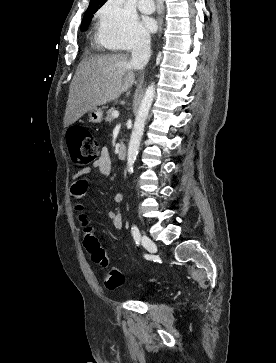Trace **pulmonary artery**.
Returning <instances> with one entry per match:
<instances>
[{"mask_svg": "<svg viewBox=\"0 0 276 363\" xmlns=\"http://www.w3.org/2000/svg\"><path fill=\"white\" fill-rule=\"evenodd\" d=\"M138 7L140 11L146 14H151L155 10V5L153 0H139Z\"/></svg>", "mask_w": 276, "mask_h": 363, "instance_id": "obj_1", "label": "pulmonary artery"}]
</instances>
